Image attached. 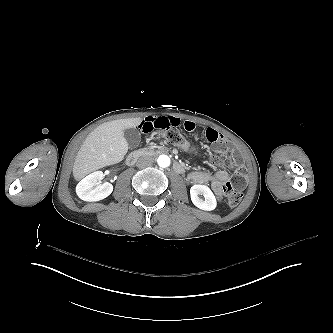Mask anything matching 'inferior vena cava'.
Returning <instances> with one entry per match:
<instances>
[{
  "mask_svg": "<svg viewBox=\"0 0 333 333\" xmlns=\"http://www.w3.org/2000/svg\"><path fill=\"white\" fill-rule=\"evenodd\" d=\"M154 163V157L150 155L141 156L136 162V166L139 168H144L150 166Z\"/></svg>",
  "mask_w": 333,
  "mask_h": 333,
  "instance_id": "inferior-vena-cava-1",
  "label": "inferior vena cava"
}]
</instances>
